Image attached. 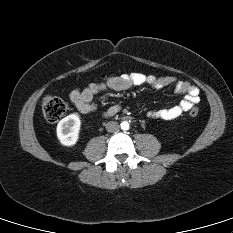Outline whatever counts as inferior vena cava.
Returning a JSON list of instances; mask_svg holds the SVG:
<instances>
[{"label": "inferior vena cava", "instance_id": "602c4592", "mask_svg": "<svg viewBox=\"0 0 233 233\" xmlns=\"http://www.w3.org/2000/svg\"><path fill=\"white\" fill-rule=\"evenodd\" d=\"M119 124L115 121H109L107 124H106V130L108 132H116L119 130Z\"/></svg>", "mask_w": 233, "mask_h": 233}]
</instances>
